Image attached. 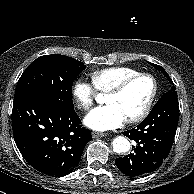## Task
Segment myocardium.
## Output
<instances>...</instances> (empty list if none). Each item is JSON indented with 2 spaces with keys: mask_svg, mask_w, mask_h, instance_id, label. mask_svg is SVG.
Wrapping results in <instances>:
<instances>
[{
  "mask_svg": "<svg viewBox=\"0 0 194 194\" xmlns=\"http://www.w3.org/2000/svg\"><path fill=\"white\" fill-rule=\"evenodd\" d=\"M149 78L152 82L153 85V90L152 93L150 95V98L148 100V102L146 103L145 107L143 108V110L136 116L126 119V122L128 124H135V123H139L141 121H143L150 113L152 106L155 102V99L157 97L158 94V82L157 79L155 78L154 75L150 74V73H145V72H140V73H136L132 76H129L125 79H123L122 81H120L114 88H112L107 95H119L121 94L126 87L132 83L133 81L139 79V78Z\"/></svg>",
  "mask_w": 194,
  "mask_h": 194,
  "instance_id": "1",
  "label": "myocardium"
}]
</instances>
